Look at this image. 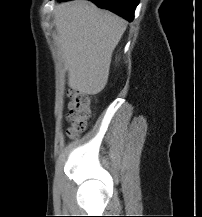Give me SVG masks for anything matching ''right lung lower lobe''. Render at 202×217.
Listing matches in <instances>:
<instances>
[{"instance_id": "obj_1", "label": "right lung lower lobe", "mask_w": 202, "mask_h": 217, "mask_svg": "<svg viewBox=\"0 0 202 217\" xmlns=\"http://www.w3.org/2000/svg\"><path fill=\"white\" fill-rule=\"evenodd\" d=\"M67 1V0H61ZM98 7L110 10L128 21L134 19V11L139 0H90Z\"/></svg>"}]
</instances>
